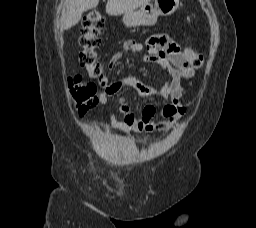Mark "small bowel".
<instances>
[{
  "label": "small bowel",
  "mask_w": 256,
  "mask_h": 228,
  "mask_svg": "<svg viewBox=\"0 0 256 228\" xmlns=\"http://www.w3.org/2000/svg\"><path fill=\"white\" fill-rule=\"evenodd\" d=\"M144 53V59L160 65L168 75L167 82L161 88L149 86L134 76H128L121 81L111 82L104 73L99 77L101 91L99 101L106 103L108 98L116 95L123 86L132 88L143 98L170 99V103L161 109L163 120L154 121L157 113L153 105L144 108L141 116L136 117L131 108L121 102L120 112L122 119L111 116L112 127L124 132L130 131H167L185 113V107L181 103L183 96V80L189 79L194 74L188 58L168 34L151 35L145 43L135 40H127L123 44L122 51L110 56L106 67L113 68L123 57L124 53Z\"/></svg>",
  "instance_id": "1"
}]
</instances>
